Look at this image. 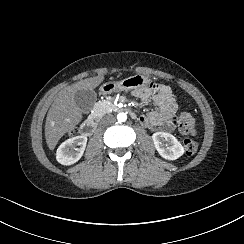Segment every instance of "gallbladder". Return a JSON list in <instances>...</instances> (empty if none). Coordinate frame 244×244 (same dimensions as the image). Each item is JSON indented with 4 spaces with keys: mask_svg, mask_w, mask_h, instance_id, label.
I'll list each match as a JSON object with an SVG mask.
<instances>
[{
    "mask_svg": "<svg viewBox=\"0 0 244 244\" xmlns=\"http://www.w3.org/2000/svg\"><path fill=\"white\" fill-rule=\"evenodd\" d=\"M75 100L80 110L88 114L97 100V94L93 90L77 91Z\"/></svg>",
    "mask_w": 244,
    "mask_h": 244,
    "instance_id": "bac80fb5",
    "label": "gallbladder"
}]
</instances>
